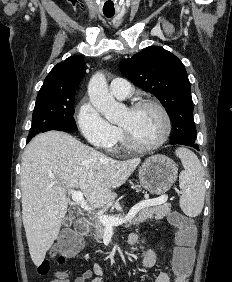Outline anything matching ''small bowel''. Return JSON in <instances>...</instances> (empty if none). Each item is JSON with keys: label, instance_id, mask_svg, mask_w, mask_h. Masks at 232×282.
<instances>
[{"label": "small bowel", "instance_id": "small-bowel-1", "mask_svg": "<svg viewBox=\"0 0 232 282\" xmlns=\"http://www.w3.org/2000/svg\"><path fill=\"white\" fill-rule=\"evenodd\" d=\"M131 244H145V239L139 234L132 233L129 236ZM157 261V254L151 248H146L143 253L142 264L145 269L152 268ZM104 267L100 263H95L91 269L85 270L80 276L76 277L73 282H104ZM50 282H71L66 278L65 273L58 272ZM154 282H170L169 274L161 271Z\"/></svg>", "mask_w": 232, "mask_h": 282}]
</instances>
